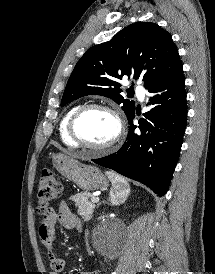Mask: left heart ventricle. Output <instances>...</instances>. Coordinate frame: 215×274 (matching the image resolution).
Returning <instances> with one entry per match:
<instances>
[{
	"instance_id": "b2bd125f",
	"label": "left heart ventricle",
	"mask_w": 215,
	"mask_h": 274,
	"mask_svg": "<svg viewBox=\"0 0 215 274\" xmlns=\"http://www.w3.org/2000/svg\"><path fill=\"white\" fill-rule=\"evenodd\" d=\"M77 132L86 142L92 145H103L115 136L117 124L110 113L93 109L79 119Z\"/></svg>"
}]
</instances>
